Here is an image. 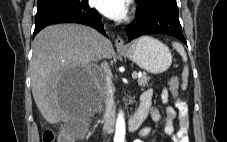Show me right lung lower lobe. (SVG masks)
I'll list each match as a JSON object with an SVG mask.
<instances>
[{"label": "right lung lower lobe", "instance_id": "right-lung-lower-lobe-1", "mask_svg": "<svg viewBox=\"0 0 227 142\" xmlns=\"http://www.w3.org/2000/svg\"><path fill=\"white\" fill-rule=\"evenodd\" d=\"M60 22L89 25L108 37L101 22V16L95 9L89 7L88 0H82L77 4L57 5L38 9L35 16L33 36L44 27Z\"/></svg>", "mask_w": 227, "mask_h": 142}]
</instances>
